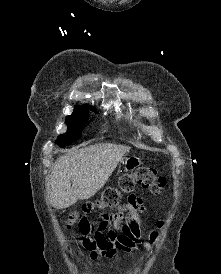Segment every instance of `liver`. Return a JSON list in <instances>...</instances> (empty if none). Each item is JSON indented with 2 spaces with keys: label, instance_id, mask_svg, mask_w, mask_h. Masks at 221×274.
<instances>
[{
  "label": "liver",
  "instance_id": "6515ba94",
  "mask_svg": "<svg viewBox=\"0 0 221 274\" xmlns=\"http://www.w3.org/2000/svg\"><path fill=\"white\" fill-rule=\"evenodd\" d=\"M129 150L127 146L102 143L59 157L48 183L50 204L56 209H64L78 200L93 197Z\"/></svg>",
  "mask_w": 221,
  "mask_h": 274
}]
</instances>
